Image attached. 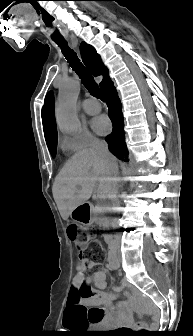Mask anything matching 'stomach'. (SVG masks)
Segmentation results:
<instances>
[{
    "label": "stomach",
    "instance_id": "obj_1",
    "mask_svg": "<svg viewBox=\"0 0 193 336\" xmlns=\"http://www.w3.org/2000/svg\"><path fill=\"white\" fill-rule=\"evenodd\" d=\"M71 218L82 224V225H91L94 222V215L91 207L84 203L77 206L74 210H72L70 214Z\"/></svg>",
    "mask_w": 193,
    "mask_h": 336
}]
</instances>
